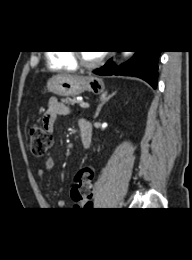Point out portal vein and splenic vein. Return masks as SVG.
<instances>
[{
    "label": "portal vein and splenic vein",
    "mask_w": 192,
    "mask_h": 260,
    "mask_svg": "<svg viewBox=\"0 0 192 260\" xmlns=\"http://www.w3.org/2000/svg\"><path fill=\"white\" fill-rule=\"evenodd\" d=\"M79 105H80L81 108H88L89 107V104L86 103V102H83V101H80Z\"/></svg>",
    "instance_id": "1"
}]
</instances>
